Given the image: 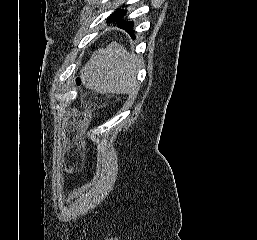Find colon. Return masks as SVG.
Segmentation results:
<instances>
[{
  "mask_svg": "<svg viewBox=\"0 0 257 240\" xmlns=\"http://www.w3.org/2000/svg\"><path fill=\"white\" fill-rule=\"evenodd\" d=\"M76 84L81 85V79L80 78H76Z\"/></svg>",
  "mask_w": 257,
  "mask_h": 240,
  "instance_id": "obj_1",
  "label": "colon"
}]
</instances>
